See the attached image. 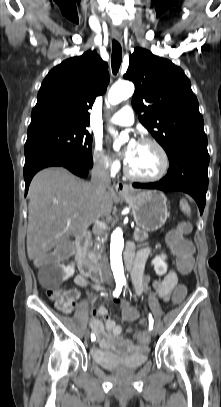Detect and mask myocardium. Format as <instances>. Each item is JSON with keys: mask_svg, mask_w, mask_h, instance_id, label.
Here are the masks:
<instances>
[{"mask_svg": "<svg viewBox=\"0 0 221 407\" xmlns=\"http://www.w3.org/2000/svg\"><path fill=\"white\" fill-rule=\"evenodd\" d=\"M138 143L150 144L159 151V153L162 157V161H163L162 169L160 170V172L158 174H156L154 176H142V175H139V174H136L135 172H133L131 170L130 166L128 165V163H126L125 167H124V171H125L126 175L131 179H134V180H137L140 182H147V183L157 182V181L163 179L167 175L169 168H170V157H169L167 150L164 148V146L160 142H158L157 140H155L153 138L144 137V138H141Z\"/></svg>", "mask_w": 221, "mask_h": 407, "instance_id": "f54148a6", "label": "myocardium"}]
</instances>
